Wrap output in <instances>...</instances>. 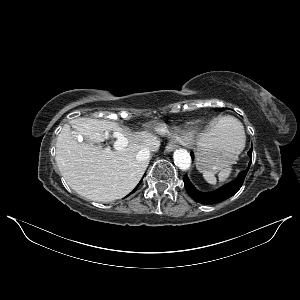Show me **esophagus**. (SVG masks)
<instances>
[{
	"mask_svg": "<svg viewBox=\"0 0 300 300\" xmlns=\"http://www.w3.org/2000/svg\"><path fill=\"white\" fill-rule=\"evenodd\" d=\"M174 149H175V144L174 143L170 142V143L167 144V146H166V151L167 152H172Z\"/></svg>",
	"mask_w": 300,
	"mask_h": 300,
	"instance_id": "esophagus-1",
	"label": "esophagus"
}]
</instances>
